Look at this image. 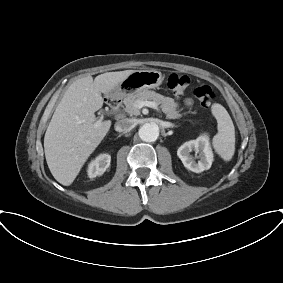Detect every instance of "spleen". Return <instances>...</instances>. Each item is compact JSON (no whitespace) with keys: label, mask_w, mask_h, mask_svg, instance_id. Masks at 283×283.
Masks as SVG:
<instances>
[{"label":"spleen","mask_w":283,"mask_h":283,"mask_svg":"<svg viewBox=\"0 0 283 283\" xmlns=\"http://www.w3.org/2000/svg\"><path fill=\"white\" fill-rule=\"evenodd\" d=\"M211 112L217 120L218 130L213 137V147L224 161H230L235 152V128L232 119L221 104L214 103Z\"/></svg>","instance_id":"3e777b00"}]
</instances>
